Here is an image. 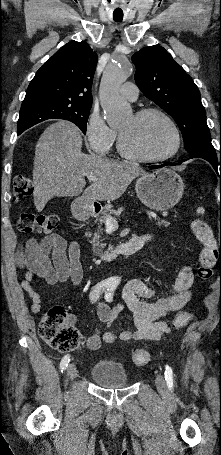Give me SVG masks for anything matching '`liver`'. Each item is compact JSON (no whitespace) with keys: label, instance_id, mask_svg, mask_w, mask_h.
<instances>
[{"label":"liver","instance_id":"liver-1","mask_svg":"<svg viewBox=\"0 0 221 455\" xmlns=\"http://www.w3.org/2000/svg\"><path fill=\"white\" fill-rule=\"evenodd\" d=\"M96 180L85 190V176ZM140 167L111 161L82 152V136L71 122L51 124L40 136L33 167L34 205L41 212L53 197H75L83 193L90 201L116 200L138 176Z\"/></svg>","mask_w":221,"mask_h":455}]
</instances>
